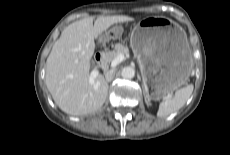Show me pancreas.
<instances>
[{
    "label": "pancreas",
    "instance_id": "obj_1",
    "mask_svg": "<svg viewBox=\"0 0 230 155\" xmlns=\"http://www.w3.org/2000/svg\"><path fill=\"white\" fill-rule=\"evenodd\" d=\"M129 49L127 46H124L121 43H117L113 51H107L104 53L103 58L106 63L112 62L114 58H116L119 54L127 55Z\"/></svg>",
    "mask_w": 230,
    "mask_h": 155
}]
</instances>
